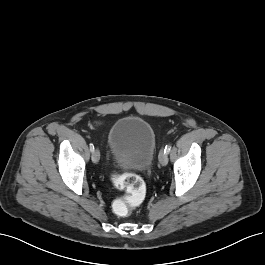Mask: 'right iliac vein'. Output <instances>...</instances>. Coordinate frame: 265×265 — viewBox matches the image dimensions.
I'll return each instance as SVG.
<instances>
[{
  "label": "right iliac vein",
  "instance_id": "right-iliac-vein-1",
  "mask_svg": "<svg viewBox=\"0 0 265 265\" xmlns=\"http://www.w3.org/2000/svg\"><path fill=\"white\" fill-rule=\"evenodd\" d=\"M92 161L94 163H98L99 159H100V152L98 149L94 150L93 153H92Z\"/></svg>",
  "mask_w": 265,
  "mask_h": 265
}]
</instances>
